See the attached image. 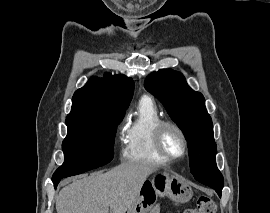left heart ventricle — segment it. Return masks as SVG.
Segmentation results:
<instances>
[{"label": "left heart ventricle", "instance_id": "b2bd125f", "mask_svg": "<svg viewBox=\"0 0 270 213\" xmlns=\"http://www.w3.org/2000/svg\"><path fill=\"white\" fill-rule=\"evenodd\" d=\"M164 146L166 151L173 156H179L183 151L182 139L173 129L166 130L164 134Z\"/></svg>", "mask_w": 270, "mask_h": 213}]
</instances>
